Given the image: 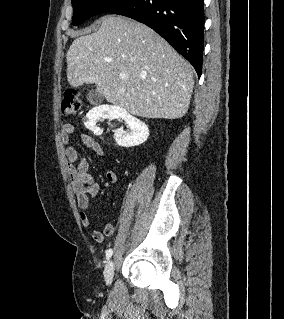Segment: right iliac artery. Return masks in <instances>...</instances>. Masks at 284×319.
I'll return each instance as SVG.
<instances>
[{"instance_id": "obj_1", "label": "right iliac artery", "mask_w": 284, "mask_h": 319, "mask_svg": "<svg viewBox=\"0 0 284 319\" xmlns=\"http://www.w3.org/2000/svg\"><path fill=\"white\" fill-rule=\"evenodd\" d=\"M113 254V250L110 248L106 251V259H109Z\"/></svg>"}]
</instances>
